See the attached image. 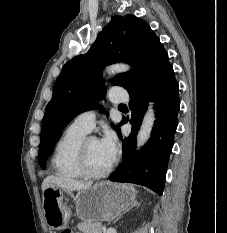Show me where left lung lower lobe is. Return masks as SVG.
Wrapping results in <instances>:
<instances>
[{
	"label": "left lung lower lobe",
	"mask_w": 227,
	"mask_h": 233,
	"mask_svg": "<svg viewBox=\"0 0 227 233\" xmlns=\"http://www.w3.org/2000/svg\"><path fill=\"white\" fill-rule=\"evenodd\" d=\"M179 85L172 66L167 67L158 79L146 90L130 93L131 134L122 139L123 161L109 176L114 182L135 183L146 186L162 195L165 175L174 134L177 128V114L180 108ZM152 97V98H151ZM156 102V120L147 144L135 151L136 135L146 112L149 99ZM125 118L121 124L127 123Z\"/></svg>",
	"instance_id": "0a47b994"
}]
</instances>
